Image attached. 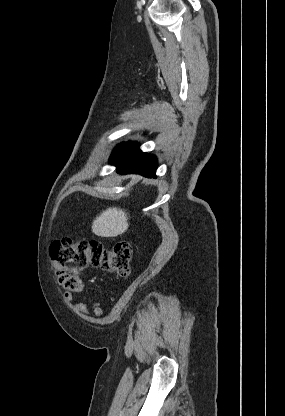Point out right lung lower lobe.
Listing matches in <instances>:
<instances>
[{
    "label": "right lung lower lobe",
    "instance_id": "1",
    "mask_svg": "<svg viewBox=\"0 0 285 416\" xmlns=\"http://www.w3.org/2000/svg\"><path fill=\"white\" fill-rule=\"evenodd\" d=\"M110 162L121 174L136 173L147 177H155L157 161L155 156L142 153L137 143L119 144L110 157Z\"/></svg>",
    "mask_w": 285,
    "mask_h": 416
}]
</instances>
